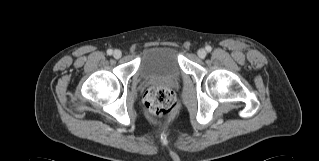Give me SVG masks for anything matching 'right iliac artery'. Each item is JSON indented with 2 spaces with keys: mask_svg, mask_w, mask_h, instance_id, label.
<instances>
[{
  "mask_svg": "<svg viewBox=\"0 0 319 161\" xmlns=\"http://www.w3.org/2000/svg\"><path fill=\"white\" fill-rule=\"evenodd\" d=\"M112 53H113V50H112V49H108V50H107V54H108V55H112Z\"/></svg>",
  "mask_w": 319,
  "mask_h": 161,
  "instance_id": "82829eb1",
  "label": "right iliac artery"
}]
</instances>
